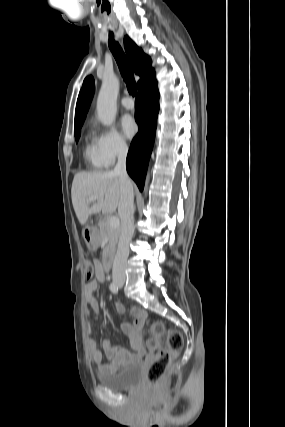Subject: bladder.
<instances>
[{"instance_id": "obj_1", "label": "bladder", "mask_w": 285, "mask_h": 427, "mask_svg": "<svg viewBox=\"0 0 285 427\" xmlns=\"http://www.w3.org/2000/svg\"><path fill=\"white\" fill-rule=\"evenodd\" d=\"M142 363L136 361L122 369L107 374H100L98 381L112 390H128L137 386L141 378Z\"/></svg>"}]
</instances>
